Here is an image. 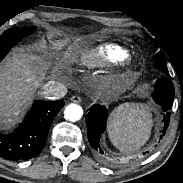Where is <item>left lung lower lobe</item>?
I'll return each mask as SVG.
<instances>
[{"label": "left lung lower lobe", "mask_w": 183, "mask_h": 183, "mask_svg": "<svg viewBox=\"0 0 183 183\" xmlns=\"http://www.w3.org/2000/svg\"><path fill=\"white\" fill-rule=\"evenodd\" d=\"M166 75L169 76V74ZM154 87L155 90L152 93L154 101L161 105L164 112H167L171 109L174 99V86L172 81L168 77H164L158 80ZM107 117V109L98 104L93 105L86 115L89 143L92 148L99 151L101 155H104V151L100 147V138L101 134L106 129ZM164 121H166V128L169 122L168 117H166Z\"/></svg>", "instance_id": "obj_1"}]
</instances>
